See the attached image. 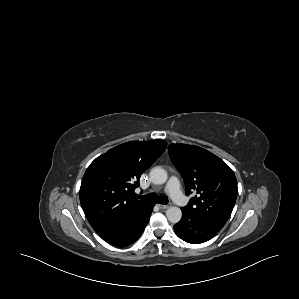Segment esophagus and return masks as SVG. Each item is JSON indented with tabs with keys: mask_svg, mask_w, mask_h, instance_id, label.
Masks as SVG:
<instances>
[{
	"mask_svg": "<svg viewBox=\"0 0 299 299\" xmlns=\"http://www.w3.org/2000/svg\"><path fill=\"white\" fill-rule=\"evenodd\" d=\"M158 206H159L161 209H168L169 207H171L170 204H167V205H164V204H158Z\"/></svg>",
	"mask_w": 299,
	"mask_h": 299,
	"instance_id": "1",
	"label": "esophagus"
}]
</instances>
